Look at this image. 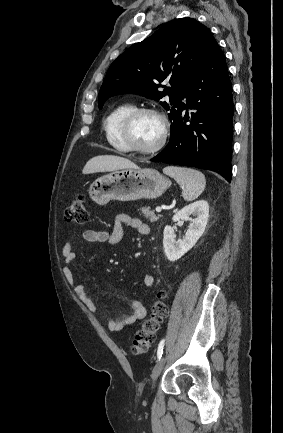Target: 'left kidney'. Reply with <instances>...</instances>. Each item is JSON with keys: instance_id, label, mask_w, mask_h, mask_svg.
<instances>
[{"instance_id": "obj_1", "label": "left kidney", "mask_w": 283, "mask_h": 433, "mask_svg": "<svg viewBox=\"0 0 283 433\" xmlns=\"http://www.w3.org/2000/svg\"><path fill=\"white\" fill-rule=\"evenodd\" d=\"M191 215L196 216L191 219ZM209 217V205L205 200L191 203L175 213L172 220L190 221L189 228L183 239L176 240L174 228L167 225L164 229L163 247L169 261H176L187 253L199 240L205 231Z\"/></svg>"}]
</instances>
